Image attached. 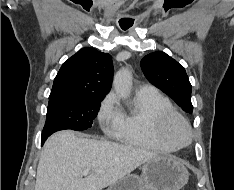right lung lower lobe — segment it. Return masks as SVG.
Returning a JSON list of instances; mask_svg holds the SVG:
<instances>
[{
  "label": "right lung lower lobe",
  "mask_w": 234,
  "mask_h": 190,
  "mask_svg": "<svg viewBox=\"0 0 234 190\" xmlns=\"http://www.w3.org/2000/svg\"><path fill=\"white\" fill-rule=\"evenodd\" d=\"M47 138H42L41 143L43 144Z\"/></svg>",
  "instance_id": "obj_1"
}]
</instances>
